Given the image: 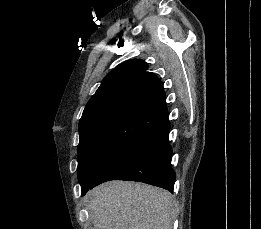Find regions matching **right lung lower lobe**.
<instances>
[{
  "instance_id": "98d812e1",
  "label": "right lung lower lobe",
  "mask_w": 261,
  "mask_h": 229,
  "mask_svg": "<svg viewBox=\"0 0 261 229\" xmlns=\"http://www.w3.org/2000/svg\"><path fill=\"white\" fill-rule=\"evenodd\" d=\"M169 130L167 118L150 136L109 165L82 195L108 180L139 181L173 191L175 172Z\"/></svg>"
}]
</instances>
